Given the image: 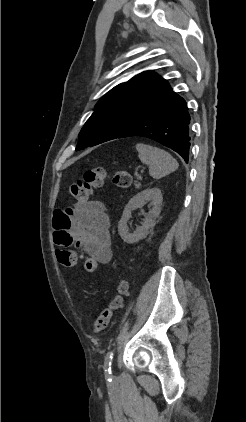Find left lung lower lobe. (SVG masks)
Wrapping results in <instances>:
<instances>
[{
  "instance_id": "left-lung-lower-lobe-1",
  "label": "left lung lower lobe",
  "mask_w": 246,
  "mask_h": 422,
  "mask_svg": "<svg viewBox=\"0 0 246 422\" xmlns=\"http://www.w3.org/2000/svg\"><path fill=\"white\" fill-rule=\"evenodd\" d=\"M190 115L185 100L171 87L129 129L118 138L141 136L155 140L189 160Z\"/></svg>"
}]
</instances>
